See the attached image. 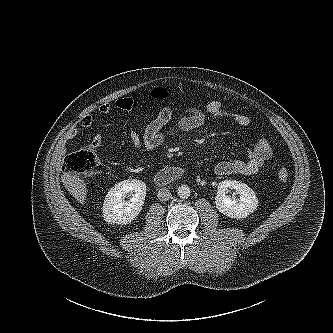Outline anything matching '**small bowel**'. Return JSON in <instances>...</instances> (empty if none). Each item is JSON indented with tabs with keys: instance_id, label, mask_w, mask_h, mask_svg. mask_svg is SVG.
Masks as SVG:
<instances>
[{
	"instance_id": "c3829d8e",
	"label": "small bowel",
	"mask_w": 333,
	"mask_h": 333,
	"mask_svg": "<svg viewBox=\"0 0 333 333\" xmlns=\"http://www.w3.org/2000/svg\"><path fill=\"white\" fill-rule=\"evenodd\" d=\"M114 106L122 111H133L137 109L138 102L134 98L125 97L116 100ZM112 107L111 104L105 103L98 110L102 114H108ZM206 114L216 118L231 120L243 127L251 124V119L248 115L228 110L220 101H211L206 105L205 112L194 106L187 107L184 116L175 124L171 123L173 117L172 109L169 106H165L160 109L155 118L144 124L141 134L134 129H130L128 136L137 152L149 153L162 145L169 136L178 132L193 131L201 127L205 122ZM93 122V117L86 115L80 120V125L88 128ZM78 132L79 129L76 127L69 129L64 136V142L75 139ZM101 141L102 138L98 134L94 136L92 144L97 147L101 144ZM272 153L273 148L270 140L266 136L261 135L249 150L246 159L221 161L214 166V172L217 175H252L257 173L263 164L271 158Z\"/></svg>"
}]
</instances>
